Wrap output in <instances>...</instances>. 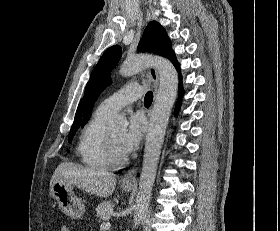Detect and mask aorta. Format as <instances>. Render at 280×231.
<instances>
[{"instance_id":"1","label":"aorta","mask_w":280,"mask_h":231,"mask_svg":"<svg viewBox=\"0 0 280 231\" xmlns=\"http://www.w3.org/2000/svg\"><path fill=\"white\" fill-rule=\"evenodd\" d=\"M149 66H154L159 74V88L146 135L142 171L136 195L134 227L139 225L150 203L161 147L178 90V74L173 64L160 56H136L134 60H125L120 66L119 74L128 78L139 74ZM108 123L110 127H126L127 119L123 114H117L110 117Z\"/></svg>"}]
</instances>
